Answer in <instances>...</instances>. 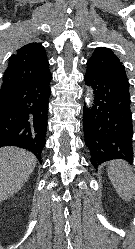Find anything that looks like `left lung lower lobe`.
<instances>
[{"mask_svg":"<svg viewBox=\"0 0 135 249\" xmlns=\"http://www.w3.org/2000/svg\"><path fill=\"white\" fill-rule=\"evenodd\" d=\"M85 82L93 92V102L84 105L83 130L91 163L97 168L113 159L133 161L132 112L128 79L110 75L87 64Z\"/></svg>","mask_w":135,"mask_h":249,"instance_id":"obj_1","label":"left lung lower lobe"}]
</instances>
